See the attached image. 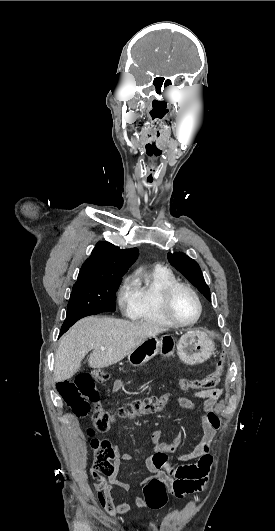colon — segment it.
I'll return each mask as SVG.
<instances>
[{
  "label": "colon",
  "instance_id": "1",
  "mask_svg": "<svg viewBox=\"0 0 275 531\" xmlns=\"http://www.w3.org/2000/svg\"><path fill=\"white\" fill-rule=\"evenodd\" d=\"M224 370L225 360L221 358L218 361L216 368L207 376L196 379H183L179 384V389L182 392H188L189 390L201 392L213 390L219 385ZM108 379L109 375L103 371H96L94 373L82 372L79 373L74 380L61 381L57 384L56 389L58 394L64 398L67 406L77 417H87L91 403H96L99 398L95 384L105 382ZM169 389L177 390L178 384L170 383ZM169 399L170 393L164 392L134 401L115 413H110L99 408L92 415V419L98 424L103 432H106L111 429L113 423L118 419H128L154 414L162 410L169 402ZM88 434L91 437L95 435L92 434V427L89 429ZM105 469L106 468H101V470ZM142 494L146 496V501L144 503L146 509L162 510L165 508L167 491L163 483H147Z\"/></svg>",
  "mask_w": 275,
  "mask_h": 531
}]
</instances>
